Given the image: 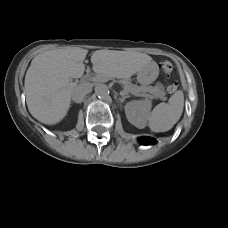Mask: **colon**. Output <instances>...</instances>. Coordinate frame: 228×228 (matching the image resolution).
<instances>
[{"label": "colon", "mask_w": 228, "mask_h": 228, "mask_svg": "<svg viewBox=\"0 0 228 228\" xmlns=\"http://www.w3.org/2000/svg\"><path fill=\"white\" fill-rule=\"evenodd\" d=\"M162 69H163L164 73L169 75L173 70V66L170 62H163ZM167 90H168L169 94H173L177 90V85L175 83H171V84H169Z\"/></svg>", "instance_id": "obj_1"}]
</instances>
